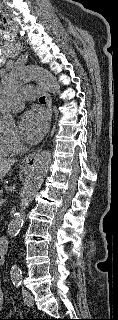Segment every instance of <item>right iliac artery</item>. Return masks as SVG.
<instances>
[{
  "label": "right iliac artery",
  "instance_id": "obj_1",
  "mask_svg": "<svg viewBox=\"0 0 118 320\" xmlns=\"http://www.w3.org/2000/svg\"><path fill=\"white\" fill-rule=\"evenodd\" d=\"M13 284L16 286V287H19L21 285V281H13Z\"/></svg>",
  "mask_w": 118,
  "mask_h": 320
}]
</instances>
